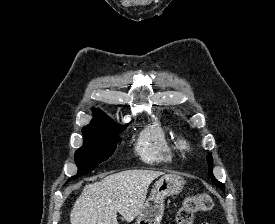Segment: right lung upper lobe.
I'll use <instances>...</instances> for the list:
<instances>
[{
	"instance_id": "right-lung-upper-lobe-1",
	"label": "right lung upper lobe",
	"mask_w": 275,
	"mask_h": 224,
	"mask_svg": "<svg viewBox=\"0 0 275 224\" xmlns=\"http://www.w3.org/2000/svg\"><path fill=\"white\" fill-rule=\"evenodd\" d=\"M95 118L91 120V122L85 126V128H105V127H111L115 126L114 122L108 118L102 111L95 110L94 111Z\"/></svg>"
}]
</instances>
